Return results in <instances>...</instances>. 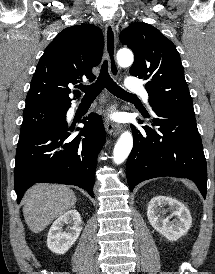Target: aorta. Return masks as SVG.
Returning a JSON list of instances; mask_svg holds the SVG:
<instances>
[{"mask_svg": "<svg viewBox=\"0 0 215 274\" xmlns=\"http://www.w3.org/2000/svg\"><path fill=\"white\" fill-rule=\"evenodd\" d=\"M134 57L129 49H120L117 53L118 64L122 67H128L133 63ZM133 147V137L128 131L121 134L118 139L114 152L113 160L116 164H121L130 154Z\"/></svg>", "mask_w": 215, "mask_h": 274, "instance_id": "aorta-1", "label": "aorta"}]
</instances>
